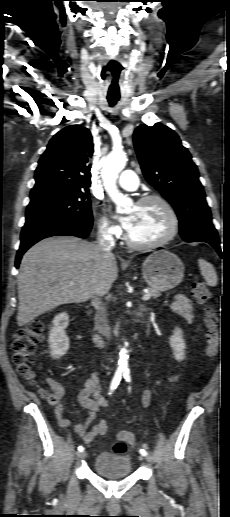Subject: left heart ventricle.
<instances>
[{
	"instance_id": "obj_1",
	"label": "left heart ventricle",
	"mask_w": 230,
	"mask_h": 517,
	"mask_svg": "<svg viewBox=\"0 0 230 517\" xmlns=\"http://www.w3.org/2000/svg\"><path fill=\"white\" fill-rule=\"evenodd\" d=\"M128 214L134 215V220L128 233L137 242L149 243L156 241L163 237L169 228L168 215L157 202L133 206L129 209Z\"/></svg>"
}]
</instances>
